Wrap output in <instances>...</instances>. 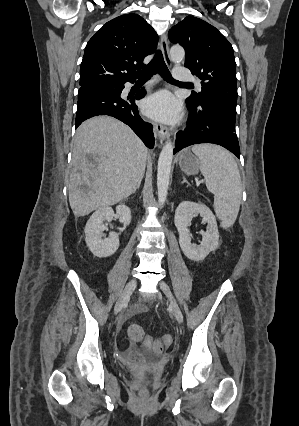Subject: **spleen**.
<instances>
[{"instance_id": "3e777b00", "label": "spleen", "mask_w": 299, "mask_h": 426, "mask_svg": "<svg viewBox=\"0 0 299 426\" xmlns=\"http://www.w3.org/2000/svg\"><path fill=\"white\" fill-rule=\"evenodd\" d=\"M192 152L201 162L206 186L214 194V209L221 225L234 224L241 203L242 183L239 169L232 155L222 147L199 144Z\"/></svg>"}]
</instances>
